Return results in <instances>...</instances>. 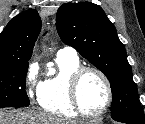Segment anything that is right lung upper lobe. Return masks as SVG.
<instances>
[{
	"label": "right lung upper lobe",
	"mask_w": 145,
	"mask_h": 124,
	"mask_svg": "<svg viewBox=\"0 0 145 124\" xmlns=\"http://www.w3.org/2000/svg\"><path fill=\"white\" fill-rule=\"evenodd\" d=\"M41 29L35 9L14 17L0 34V65L28 61Z\"/></svg>",
	"instance_id": "obj_1"
}]
</instances>
